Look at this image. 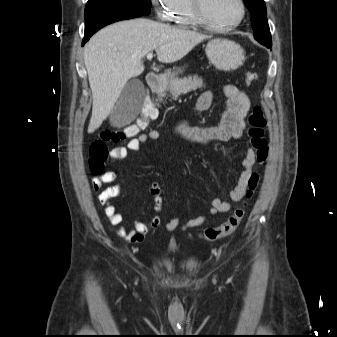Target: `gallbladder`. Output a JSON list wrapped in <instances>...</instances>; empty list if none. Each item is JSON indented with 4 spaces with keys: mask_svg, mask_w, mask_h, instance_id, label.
Here are the masks:
<instances>
[{
    "mask_svg": "<svg viewBox=\"0 0 337 337\" xmlns=\"http://www.w3.org/2000/svg\"><path fill=\"white\" fill-rule=\"evenodd\" d=\"M144 97L143 83L138 79L129 81L123 88L111 112V123L118 127L129 124L141 110Z\"/></svg>",
    "mask_w": 337,
    "mask_h": 337,
    "instance_id": "1",
    "label": "gallbladder"
}]
</instances>
